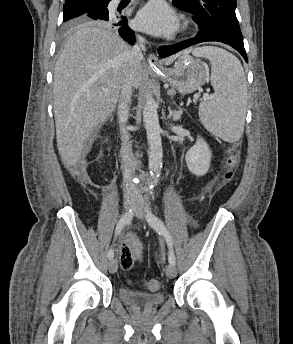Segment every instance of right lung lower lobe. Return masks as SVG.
Returning a JSON list of instances; mask_svg holds the SVG:
<instances>
[{"label": "right lung lower lobe", "instance_id": "right-lung-lower-lobe-1", "mask_svg": "<svg viewBox=\"0 0 293 344\" xmlns=\"http://www.w3.org/2000/svg\"><path fill=\"white\" fill-rule=\"evenodd\" d=\"M111 0H104L97 3L84 16L89 20H104L108 21L110 26H117L119 35L127 42L133 44L134 31L127 26V18L125 16H112L109 14L107 6Z\"/></svg>", "mask_w": 293, "mask_h": 344}]
</instances>
